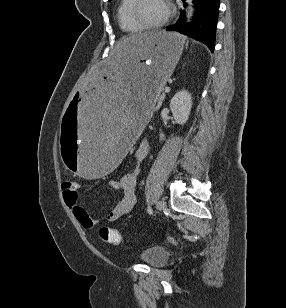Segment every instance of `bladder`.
Listing matches in <instances>:
<instances>
[{"mask_svg":"<svg viewBox=\"0 0 286 308\" xmlns=\"http://www.w3.org/2000/svg\"><path fill=\"white\" fill-rule=\"evenodd\" d=\"M139 258L149 266L159 267L169 258V251L165 247H150L142 251Z\"/></svg>","mask_w":286,"mask_h":308,"instance_id":"bladder-1","label":"bladder"}]
</instances>
